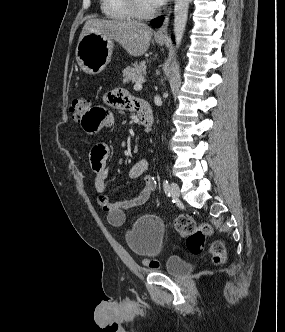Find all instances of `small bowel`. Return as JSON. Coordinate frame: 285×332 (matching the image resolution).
<instances>
[{"mask_svg": "<svg viewBox=\"0 0 285 332\" xmlns=\"http://www.w3.org/2000/svg\"><path fill=\"white\" fill-rule=\"evenodd\" d=\"M105 100L107 104L116 109L138 111L137 101L129 97L122 90L109 92ZM109 106H90V111H84L78 115V122L84 126V133H103V126H111L113 118ZM109 147L104 143L95 144L90 150V162L94 171V188L98 194L97 201L102 210L107 214L108 222L115 227L124 224L126 211L145 204L155 190L156 184L152 176H145L143 186L139 193L122 201H112L106 193L109 168L107 160ZM146 158L139 159L130 169L131 179L139 178L148 168Z\"/></svg>", "mask_w": 285, "mask_h": 332, "instance_id": "obj_1", "label": "small bowel"}]
</instances>
